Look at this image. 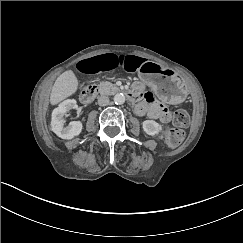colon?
Segmentation results:
<instances>
[{
	"mask_svg": "<svg viewBox=\"0 0 243 243\" xmlns=\"http://www.w3.org/2000/svg\"><path fill=\"white\" fill-rule=\"evenodd\" d=\"M173 126L164 130V140L170 147L178 146L184 139V128L189 124V116L184 110H177L172 117Z\"/></svg>",
	"mask_w": 243,
	"mask_h": 243,
	"instance_id": "5ec220e1",
	"label": "colon"
}]
</instances>
